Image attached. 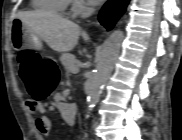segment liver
<instances>
[{
    "instance_id": "liver-1",
    "label": "liver",
    "mask_w": 182,
    "mask_h": 140,
    "mask_svg": "<svg viewBox=\"0 0 182 140\" xmlns=\"http://www.w3.org/2000/svg\"><path fill=\"white\" fill-rule=\"evenodd\" d=\"M25 26L54 51H71L78 43L80 27L54 13L22 12L17 16ZM88 40V37L85 38Z\"/></svg>"
}]
</instances>
